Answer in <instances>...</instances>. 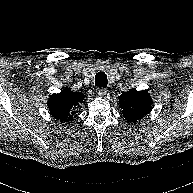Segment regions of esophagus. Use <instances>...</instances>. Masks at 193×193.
<instances>
[{"label": "esophagus", "mask_w": 193, "mask_h": 193, "mask_svg": "<svg viewBox=\"0 0 193 193\" xmlns=\"http://www.w3.org/2000/svg\"><path fill=\"white\" fill-rule=\"evenodd\" d=\"M96 92L99 96H104L107 93V90L103 87H98L96 89Z\"/></svg>", "instance_id": "1"}]
</instances>
